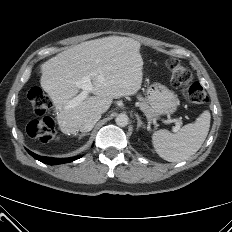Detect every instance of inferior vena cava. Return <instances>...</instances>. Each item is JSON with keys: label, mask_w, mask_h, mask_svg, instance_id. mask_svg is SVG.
Listing matches in <instances>:
<instances>
[{"label": "inferior vena cava", "mask_w": 232, "mask_h": 232, "mask_svg": "<svg viewBox=\"0 0 232 232\" xmlns=\"http://www.w3.org/2000/svg\"><path fill=\"white\" fill-rule=\"evenodd\" d=\"M101 118L100 113H95L90 115L88 118L85 119L83 124L80 126L81 132H88L91 131L95 123Z\"/></svg>", "instance_id": "1"}]
</instances>
